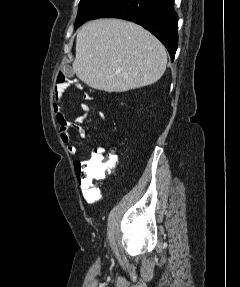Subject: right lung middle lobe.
<instances>
[{"mask_svg":"<svg viewBox=\"0 0 240 287\" xmlns=\"http://www.w3.org/2000/svg\"><path fill=\"white\" fill-rule=\"evenodd\" d=\"M108 0H81L75 28L93 18Z\"/></svg>","mask_w":240,"mask_h":287,"instance_id":"obj_1","label":"right lung middle lobe"}]
</instances>
